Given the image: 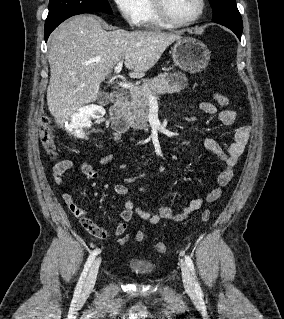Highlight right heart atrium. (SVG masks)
<instances>
[{
	"mask_svg": "<svg viewBox=\"0 0 284 319\" xmlns=\"http://www.w3.org/2000/svg\"><path fill=\"white\" fill-rule=\"evenodd\" d=\"M118 12L131 26L141 25L145 0H113Z\"/></svg>",
	"mask_w": 284,
	"mask_h": 319,
	"instance_id": "right-heart-atrium-1",
	"label": "right heart atrium"
}]
</instances>
